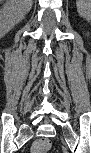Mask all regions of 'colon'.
I'll return each instance as SVG.
<instances>
[{
	"label": "colon",
	"instance_id": "obj_1",
	"mask_svg": "<svg viewBox=\"0 0 91 153\" xmlns=\"http://www.w3.org/2000/svg\"><path fill=\"white\" fill-rule=\"evenodd\" d=\"M51 148V142L47 138H39L35 140L31 148L32 153H47Z\"/></svg>",
	"mask_w": 91,
	"mask_h": 153
}]
</instances>
